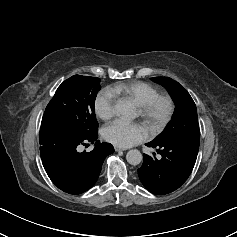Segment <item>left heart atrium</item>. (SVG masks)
<instances>
[{
	"label": "left heart atrium",
	"mask_w": 237,
	"mask_h": 237,
	"mask_svg": "<svg viewBox=\"0 0 237 237\" xmlns=\"http://www.w3.org/2000/svg\"><path fill=\"white\" fill-rule=\"evenodd\" d=\"M105 141L121 148L131 147L148 138V131L139 124L115 121L102 130Z\"/></svg>",
	"instance_id": "1"
}]
</instances>
